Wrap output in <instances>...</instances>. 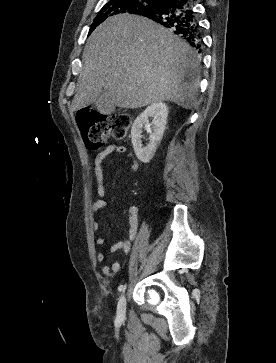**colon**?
Segmentation results:
<instances>
[{"label":"colon","mask_w":276,"mask_h":363,"mask_svg":"<svg viewBox=\"0 0 276 363\" xmlns=\"http://www.w3.org/2000/svg\"><path fill=\"white\" fill-rule=\"evenodd\" d=\"M77 124L88 149H100L107 137L124 139L131 125V118L125 113L100 114L88 108L77 112Z\"/></svg>","instance_id":"1"}]
</instances>
